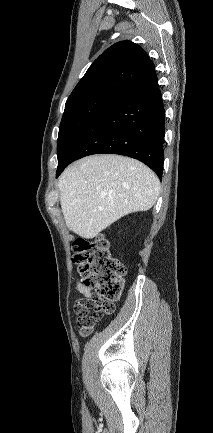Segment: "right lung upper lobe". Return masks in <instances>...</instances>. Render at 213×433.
Masks as SVG:
<instances>
[{
	"mask_svg": "<svg viewBox=\"0 0 213 433\" xmlns=\"http://www.w3.org/2000/svg\"><path fill=\"white\" fill-rule=\"evenodd\" d=\"M153 68L139 45L128 40L115 43L92 63L66 103L103 92L122 93Z\"/></svg>",
	"mask_w": 213,
	"mask_h": 433,
	"instance_id": "obj_1",
	"label": "right lung upper lobe"
}]
</instances>
